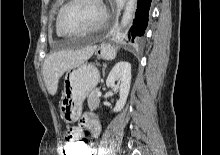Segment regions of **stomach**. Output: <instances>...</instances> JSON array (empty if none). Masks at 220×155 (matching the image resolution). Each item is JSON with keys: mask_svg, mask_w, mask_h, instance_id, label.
<instances>
[{"mask_svg": "<svg viewBox=\"0 0 220 155\" xmlns=\"http://www.w3.org/2000/svg\"><path fill=\"white\" fill-rule=\"evenodd\" d=\"M101 58L113 59L116 49L104 44L97 48ZM100 79L97 68L83 63L69 71L64 80V90L59 102L61 118L66 123H74L82 113V104L85 98L95 89Z\"/></svg>", "mask_w": 220, "mask_h": 155, "instance_id": "stomach-1", "label": "stomach"}]
</instances>
